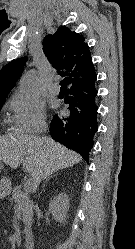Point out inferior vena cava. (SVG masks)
<instances>
[{
	"label": "inferior vena cava",
	"mask_w": 135,
	"mask_h": 249,
	"mask_svg": "<svg viewBox=\"0 0 135 249\" xmlns=\"http://www.w3.org/2000/svg\"><path fill=\"white\" fill-rule=\"evenodd\" d=\"M37 184H38V180H35V183H34V186H33L34 191L37 189Z\"/></svg>",
	"instance_id": "602c4592"
}]
</instances>
